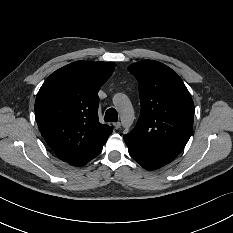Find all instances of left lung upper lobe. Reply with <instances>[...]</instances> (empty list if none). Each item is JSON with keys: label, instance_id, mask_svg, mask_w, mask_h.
<instances>
[{"label": "left lung upper lobe", "instance_id": "5c2ea615", "mask_svg": "<svg viewBox=\"0 0 233 233\" xmlns=\"http://www.w3.org/2000/svg\"><path fill=\"white\" fill-rule=\"evenodd\" d=\"M139 83L141 114L126 136L176 157L193 126V100L181 78L168 66L144 60L128 67Z\"/></svg>", "mask_w": 233, "mask_h": 233}]
</instances>
